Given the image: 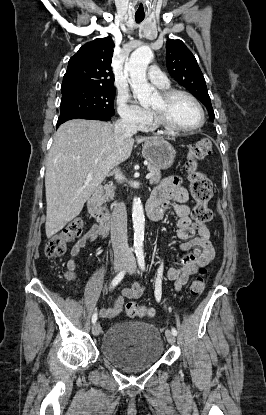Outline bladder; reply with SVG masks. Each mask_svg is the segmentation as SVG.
Listing matches in <instances>:
<instances>
[{
    "mask_svg": "<svg viewBox=\"0 0 266 415\" xmlns=\"http://www.w3.org/2000/svg\"><path fill=\"white\" fill-rule=\"evenodd\" d=\"M164 344L153 325L142 322H119L104 334L102 355L117 368L136 373L155 365L163 356Z\"/></svg>",
    "mask_w": 266,
    "mask_h": 415,
    "instance_id": "31cf9c89",
    "label": "bladder"
}]
</instances>
